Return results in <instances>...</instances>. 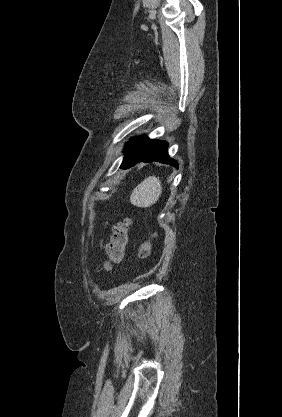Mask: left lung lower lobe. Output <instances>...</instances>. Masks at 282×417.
Instances as JSON below:
<instances>
[{
    "instance_id": "0a47b994",
    "label": "left lung lower lobe",
    "mask_w": 282,
    "mask_h": 417,
    "mask_svg": "<svg viewBox=\"0 0 282 417\" xmlns=\"http://www.w3.org/2000/svg\"><path fill=\"white\" fill-rule=\"evenodd\" d=\"M168 144L165 141L150 140L148 138L135 137L126 145V155L121 169H128L140 162L158 161L178 168L177 162L169 158Z\"/></svg>"
}]
</instances>
